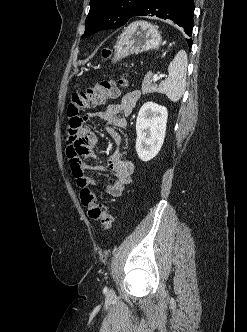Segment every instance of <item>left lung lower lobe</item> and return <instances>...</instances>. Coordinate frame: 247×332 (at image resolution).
I'll return each instance as SVG.
<instances>
[{"mask_svg": "<svg viewBox=\"0 0 247 332\" xmlns=\"http://www.w3.org/2000/svg\"><path fill=\"white\" fill-rule=\"evenodd\" d=\"M194 8V0H146L134 16H157L172 20L183 27L185 33L191 37ZM186 41L191 48L192 39Z\"/></svg>", "mask_w": 247, "mask_h": 332, "instance_id": "obj_1", "label": "left lung lower lobe"}]
</instances>
